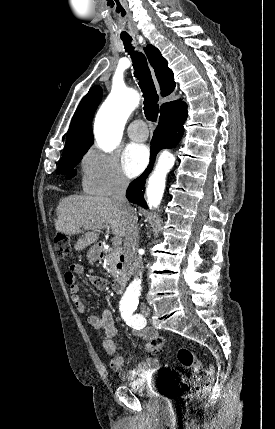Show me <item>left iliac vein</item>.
Here are the masks:
<instances>
[{
    "mask_svg": "<svg viewBox=\"0 0 275 429\" xmlns=\"http://www.w3.org/2000/svg\"><path fill=\"white\" fill-rule=\"evenodd\" d=\"M141 312H142V314H143L144 316H148V315H149V313H150V309H149V307H148V306L144 305V306H142V308H141Z\"/></svg>",
    "mask_w": 275,
    "mask_h": 429,
    "instance_id": "1",
    "label": "left iliac vein"
}]
</instances>
